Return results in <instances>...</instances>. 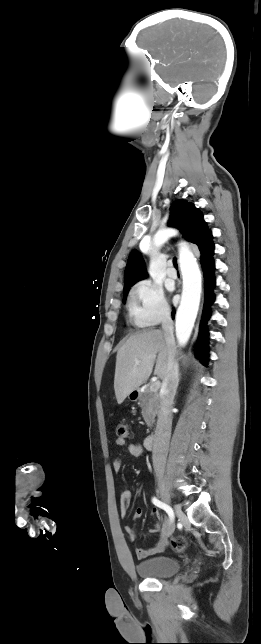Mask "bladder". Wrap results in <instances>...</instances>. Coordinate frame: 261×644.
I'll return each instance as SVG.
<instances>
[{
	"label": "bladder",
	"mask_w": 261,
	"mask_h": 644,
	"mask_svg": "<svg viewBox=\"0 0 261 644\" xmlns=\"http://www.w3.org/2000/svg\"><path fill=\"white\" fill-rule=\"evenodd\" d=\"M135 568L145 578H167L178 573L181 565L174 558L155 556L137 563Z\"/></svg>",
	"instance_id": "1"
}]
</instances>
